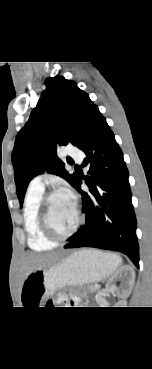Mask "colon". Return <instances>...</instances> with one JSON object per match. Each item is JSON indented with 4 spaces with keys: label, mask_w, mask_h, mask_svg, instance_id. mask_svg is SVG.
<instances>
[{
    "label": "colon",
    "mask_w": 152,
    "mask_h": 369,
    "mask_svg": "<svg viewBox=\"0 0 152 369\" xmlns=\"http://www.w3.org/2000/svg\"><path fill=\"white\" fill-rule=\"evenodd\" d=\"M58 300H59V301H61V302H65V301H66V297H65V296H63V295H60V296L58 297Z\"/></svg>",
    "instance_id": "1"
}]
</instances>
